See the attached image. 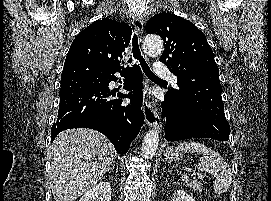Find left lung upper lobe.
Segmentation results:
<instances>
[{"label": "left lung upper lobe", "instance_id": "left-lung-upper-lobe-1", "mask_svg": "<svg viewBox=\"0 0 271 201\" xmlns=\"http://www.w3.org/2000/svg\"><path fill=\"white\" fill-rule=\"evenodd\" d=\"M147 33L165 42L160 61L177 76L179 89L169 94L195 116L200 129L217 140H228L230 125L224 115L219 69L205 35L193 23L172 13L149 19Z\"/></svg>", "mask_w": 271, "mask_h": 201}]
</instances>
